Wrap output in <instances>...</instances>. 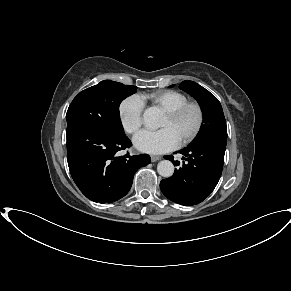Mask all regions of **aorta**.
<instances>
[{"mask_svg": "<svg viewBox=\"0 0 291 291\" xmlns=\"http://www.w3.org/2000/svg\"><path fill=\"white\" fill-rule=\"evenodd\" d=\"M161 113L156 107H149L143 113V121L147 128L157 129L160 126ZM157 172L165 178H169L174 173V165L169 160H162L157 165Z\"/></svg>", "mask_w": 291, "mask_h": 291, "instance_id": "762f6f07", "label": "aorta"}]
</instances>
